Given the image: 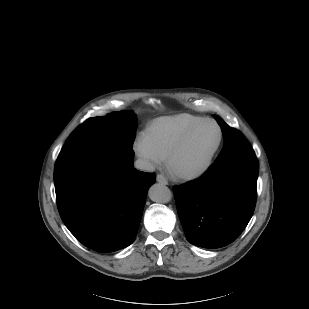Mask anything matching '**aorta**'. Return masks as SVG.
I'll return each instance as SVG.
<instances>
[{
    "label": "aorta",
    "mask_w": 309,
    "mask_h": 309,
    "mask_svg": "<svg viewBox=\"0 0 309 309\" xmlns=\"http://www.w3.org/2000/svg\"><path fill=\"white\" fill-rule=\"evenodd\" d=\"M149 198L157 203H168L172 199L170 189L161 183L153 184L148 191Z\"/></svg>",
    "instance_id": "aorta-1"
}]
</instances>
